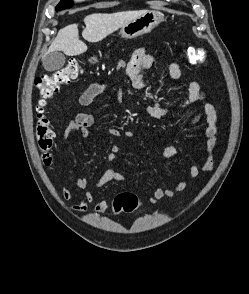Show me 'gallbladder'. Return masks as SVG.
I'll use <instances>...</instances> for the list:
<instances>
[{
    "label": "gallbladder",
    "instance_id": "gallbladder-1",
    "mask_svg": "<svg viewBox=\"0 0 249 294\" xmlns=\"http://www.w3.org/2000/svg\"><path fill=\"white\" fill-rule=\"evenodd\" d=\"M65 55L60 51H54L47 54L42 62L43 67L48 72H53L61 69L65 64Z\"/></svg>",
    "mask_w": 249,
    "mask_h": 294
}]
</instances>
